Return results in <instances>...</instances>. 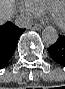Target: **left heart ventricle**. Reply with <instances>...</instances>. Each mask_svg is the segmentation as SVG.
Instances as JSON below:
<instances>
[{"instance_id":"left-heart-ventricle-1","label":"left heart ventricle","mask_w":65,"mask_h":89,"mask_svg":"<svg viewBox=\"0 0 65 89\" xmlns=\"http://www.w3.org/2000/svg\"><path fill=\"white\" fill-rule=\"evenodd\" d=\"M64 14H65V12H64L63 9H59V10L57 11V16H58V18H59L60 20H62V18L64 17Z\"/></svg>"}]
</instances>
